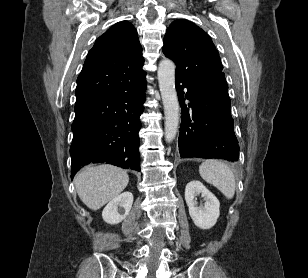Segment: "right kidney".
<instances>
[{
  "label": "right kidney",
  "instance_id": "right-kidney-1",
  "mask_svg": "<svg viewBox=\"0 0 308 278\" xmlns=\"http://www.w3.org/2000/svg\"><path fill=\"white\" fill-rule=\"evenodd\" d=\"M133 204L131 192H124L111 200L102 212L103 220L109 224L122 222L129 214Z\"/></svg>",
  "mask_w": 308,
  "mask_h": 278
}]
</instances>
